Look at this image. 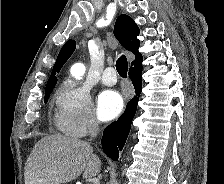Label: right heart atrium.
Wrapping results in <instances>:
<instances>
[{"label": "right heart atrium", "mask_w": 224, "mask_h": 184, "mask_svg": "<svg viewBox=\"0 0 224 184\" xmlns=\"http://www.w3.org/2000/svg\"><path fill=\"white\" fill-rule=\"evenodd\" d=\"M58 128L72 137H84L95 131L99 122L95 116L91 96L81 84L65 83L56 100Z\"/></svg>", "instance_id": "d8ad5b80"}]
</instances>
